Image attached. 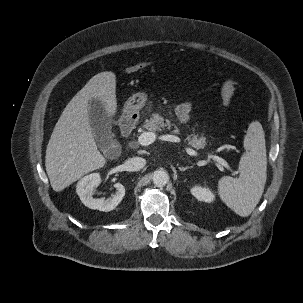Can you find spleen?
Instances as JSON below:
<instances>
[{"instance_id": "3e777b00", "label": "spleen", "mask_w": 303, "mask_h": 303, "mask_svg": "<svg viewBox=\"0 0 303 303\" xmlns=\"http://www.w3.org/2000/svg\"><path fill=\"white\" fill-rule=\"evenodd\" d=\"M243 145L246 151L239 162V178L222 177L218 194L236 214L247 217L259 203L267 178L265 134L260 122L249 124Z\"/></svg>"}]
</instances>
